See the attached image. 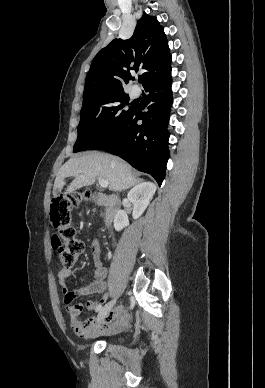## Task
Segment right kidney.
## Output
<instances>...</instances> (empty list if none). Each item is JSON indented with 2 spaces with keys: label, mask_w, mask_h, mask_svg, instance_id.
<instances>
[{
  "label": "right kidney",
  "mask_w": 265,
  "mask_h": 388,
  "mask_svg": "<svg viewBox=\"0 0 265 388\" xmlns=\"http://www.w3.org/2000/svg\"><path fill=\"white\" fill-rule=\"evenodd\" d=\"M155 192L156 186L155 184H152V182H142V184H138V186H135V188H132V190L128 192L127 198L129 202L133 204V220H138V218L142 216L147 206H149ZM126 226H129L128 216L124 210H118L114 218V228L116 232H120V230H123Z\"/></svg>",
  "instance_id": "1"
}]
</instances>
